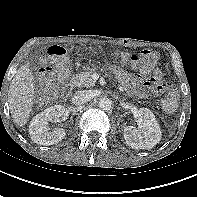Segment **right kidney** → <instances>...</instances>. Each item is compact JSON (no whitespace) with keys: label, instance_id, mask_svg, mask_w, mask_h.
Masks as SVG:
<instances>
[{"label":"right kidney","instance_id":"right-kidney-1","mask_svg":"<svg viewBox=\"0 0 197 197\" xmlns=\"http://www.w3.org/2000/svg\"><path fill=\"white\" fill-rule=\"evenodd\" d=\"M66 114L65 108L62 105H55L45 109L37 114L31 121L29 126L30 138L33 142L49 146L61 141L66 133L63 128H55L50 131L49 122H58L64 118Z\"/></svg>","mask_w":197,"mask_h":197}]
</instances>
